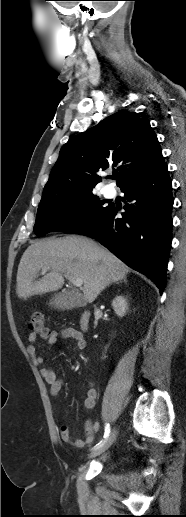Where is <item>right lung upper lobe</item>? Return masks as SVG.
<instances>
[{
  "label": "right lung upper lobe",
  "mask_w": 186,
  "mask_h": 517,
  "mask_svg": "<svg viewBox=\"0 0 186 517\" xmlns=\"http://www.w3.org/2000/svg\"><path fill=\"white\" fill-rule=\"evenodd\" d=\"M164 163L160 144L147 118L120 110L71 138L60 150L41 201L93 190L109 165L120 171V188Z\"/></svg>",
  "instance_id": "obj_1"
}]
</instances>
